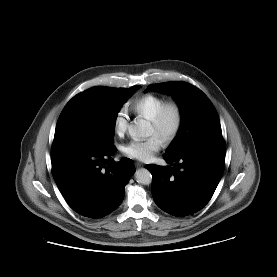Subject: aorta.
I'll return each instance as SVG.
<instances>
[{
	"instance_id": "obj_1",
	"label": "aorta",
	"mask_w": 277,
	"mask_h": 277,
	"mask_svg": "<svg viewBox=\"0 0 277 277\" xmlns=\"http://www.w3.org/2000/svg\"><path fill=\"white\" fill-rule=\"evenodd\" d=\"M128 131L133 139L144 138L150 134V125L147 121L140 119L130 125ZM135 179L139 184L149 185L152 181V175L149 170L142 168L135 172Z\"/></svg>"
}]
</instances>
